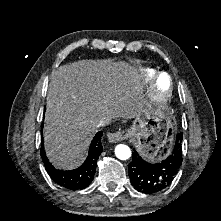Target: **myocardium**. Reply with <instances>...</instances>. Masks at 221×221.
<instances>
[{
    "label": "myocardium",
    "instance_id": "obj_1",
    "mask_svg": "<svg viewBox=\"0 0 221 221\" xmlns=\"http://www.w3.org/2000/svg\"><path fill=\"white\" fill-rule=\"evenodd\" d=\"M161 75H165L168 78V88L165 92L158 94L156 90H154V98L155 100H157L160 103H166L170 97L172 96V92H173V83H172V78L171 76L167 73V72H161L159 73L155 79H154V84H157L158 78Z\"/></svg>",
    "mask_w": 221,
    "mask_h": 221
}]
</instances>
